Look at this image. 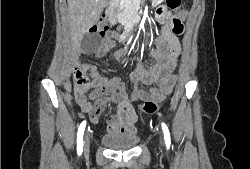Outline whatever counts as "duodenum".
<instances>
[{
  "instance_id": "1",
  "label": "duodenum",
  "mask_w": 250,
  "mask_h": 169,
  "mask_svg": "<svg viewBox=\"0 0 250 169\" xmlns=\"http://www.w3.org/2000/svg\"><path fill=\"white\" fill-rule=\"evenodd\" d=\"M111 13H113V11L112 10H109ZM135 33H136V35L137 36H142V33H143V30H142V28H137L136 29V31H135ZM123 38H124V34H117L116 35V39L118 40V41H121V40H123ZM112 117V116H111ZM110 117V118H111ZM110 118H109V120H110Z\"/></svg>"
}]
</instances>
